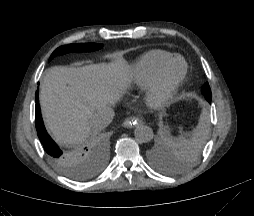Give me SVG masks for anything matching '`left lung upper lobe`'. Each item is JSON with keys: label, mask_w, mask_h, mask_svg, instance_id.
I'll list each match as a JSON object with an SVG mask.
<instances>
[{"label": "left lung upper lobe", "mask_w": 254, "mask_h": 216, "mask_svg": "<svg viewBox=\"0 0 254 216\" xmlns=\"http://www.w3.org/2000/svg\"><path fill=\"white\" fill-rule=\"evenodd\" d=\"M202 94L206 98V100L210 103L211 102V90L209 87V84L206 82L202 89ZM152 161L153 163L160 169L167 171V172H172L175 171L176 168L173 166L167 158L161 156V155H154L152 156Z\"/></svg>", "instance_id": "1"}]
</instances>
